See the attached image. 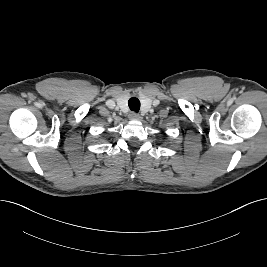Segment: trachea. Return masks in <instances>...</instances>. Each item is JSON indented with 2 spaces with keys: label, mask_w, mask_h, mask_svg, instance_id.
Returning a JSON list of instances; mask_svg holds the SVG:
<instances>
[{
  "label": "trachea",
  "mask_w": 267,
  "mask_h": 267,
  "mask_svg": "<svg viewBox=\"0 0 267 267\" xmlns=\"http://www.w3.org/2000/svg\"><path fill=\"white\" fill-rule=\"evenodd\" d=\"M128 106H129L130 110L138 113L139 110H140V101H139V99L136 98V97L130 98L129 101H128Z\"/></svg>",
  "instance_id": "1"
}]
</instances>
